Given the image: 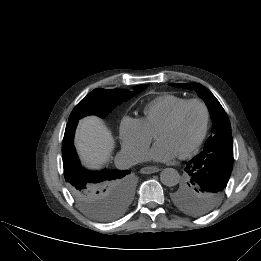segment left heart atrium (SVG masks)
Here are the masks:
<instances>
[{
  "mask_svg": "<svg viewBox=\"0 0 261 261\" xmlns=\"http://www.w3.org/2000/svg\"><path fill=\"white\" fill-rule=\"evenodd\" d=\"M178 155L177 150L168 141H157L147 153L149 159L157 162H167Z\"/></svg>",
  "mask_w": 261,
  "mask_h": 261,
  "instance_id": "39dd6f15",
  "label": "left heart atrium"
}]
</instances>
